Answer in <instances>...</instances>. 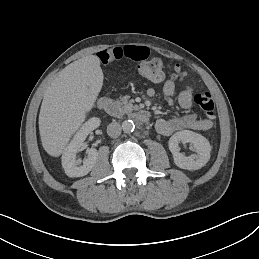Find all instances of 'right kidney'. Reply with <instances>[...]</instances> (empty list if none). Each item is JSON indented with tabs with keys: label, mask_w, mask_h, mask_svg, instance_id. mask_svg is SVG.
Segmentation results:
<instances>
[{
	"label": "right kidney",
	"mask_w": 259,
	"mask_h": 259,
	"mask_svg": "<svg viewBox=\"0 0 259 259\" xmlns=\"http://www.w3.org/2000/svg\"><path fill=\"white\" fill-rule=\"evenodd\" d=\"M101 120L97 117H92L86 121L81 129L74 135L72 141L67 146L62 155V166L65 173L69 177H82L87 175L96 164L98 152L95 148L87 149V158L83 161V165L80 166L81 160H76V153L80 147L84 145V140L87 135L94 129L100 126Z\"/></svg>",
	"instance_id": "right-kidney-1"
}]
</instances>
